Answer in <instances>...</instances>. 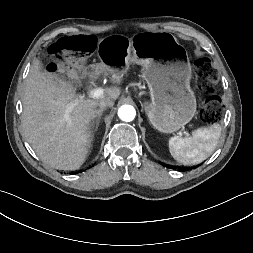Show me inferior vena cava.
<instances>
[{
	"label": "inferior vena cava",
	"mask_w": 253,
	"mask_h": 253,
	"mask_svg": "<svg viewBox=\"0 0 253 253\" xmlns=\"http://www.w3.org/2000/svg\"><path fill=\"white\" fill-rule=\"evenodd\" d=\"M113 105H114V102L111 99H108V98L102 99L98 103V106L100 107V109H103V108L105 109V108H108V107L110 108V107H113Z\"/></svg>",
	"instance_id": "602c4592"
}]
</instances>
